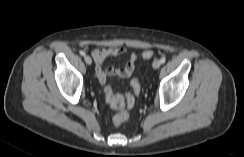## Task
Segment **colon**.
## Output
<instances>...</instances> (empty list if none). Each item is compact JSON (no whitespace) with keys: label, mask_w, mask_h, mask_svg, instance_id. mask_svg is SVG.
<instances>
[{"label":"colon","mask_w":244,"mask_h":157,"mask_svg":"<svg viewBox=\"0 0 244 157\" xmlns=\"http://www.w3.org/2000/svg\"><path fill=\"white\" fill-rule=\"evenodd\" d=\"M154 55L152 50H145L142 53V58L144 60L151 59ZM131 86L134 92L132 94H126L125 96H121L116 94L112 87L107 85L105 87V98L107 104L114 110H116V114L113 116L112 123L115 126H120L128 119L127 109L132 108L135 103V95H138L140 92V84L137 79H133L131 82Z\"/></svg>","instance_id":"5ec220e1"}]
</instances>
